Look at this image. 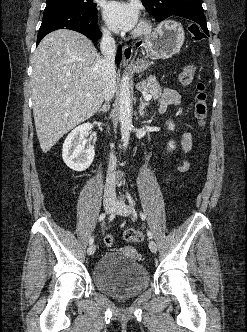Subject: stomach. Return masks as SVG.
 <instances>
[{"label":"stomach","mask_w":247,"mask_h":332,"mask_svg":"<svg viewBox=\"0 0 247 332\" xmlns=\"http://www.w3.org/2000/svg\"><path fill=\"white\" fill-rule=\"evenodd\" d=\"M184 38V30L181 24L167 20L156 27L151 36L144 41L143 47L148 56L154 59H166L180 51ZM147 66L146 61H138L134 71L142 73Z\"/></svg>","instance_id":"0dacf381"}]
</instances>
